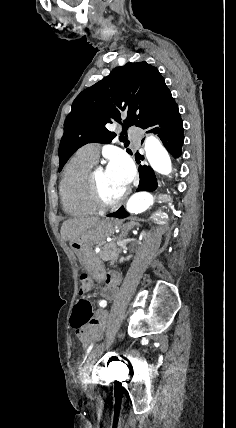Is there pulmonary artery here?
I'll return each mask as SVG.
<instances>
[{"label": "pulmonary artery", "instance_id": "pulmonary-artery-1", "mask_svg": "<svg viewBox=\"0 0 236 428\" xmlns=\"http://www.w3.org/2000/svg\"><path fill=\"white\" fill-rule=\"evenodd\" d=\"M134 143H139L140 141V137H133L132 138ZM86 148V152L87 154L94 160L97 159L98 155H99V150L96 146L93 145H88L85 147Z\"/></svg>", "mask_w": 236, "mask_h": 428}]
</instances>
